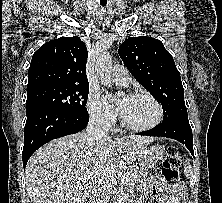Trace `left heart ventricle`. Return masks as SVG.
<instances>
[{
    "label": "left heart ventricle",
    "mask_w": 222,
    "mask_h": 203,
    "mask_svg": "<svg viewBox=\"0 0 222 203\" xmlns=\"http://www.w3.org/2000/svg\"><path fill=\"white\" fill-rule=\"evenodd\" d=\"M117 103L123 117L133 125H147L157 118L156 106L146 97L121 95Z\"/></svg>",
    "instance_id": "b2bd125f"
}]
</instances>
